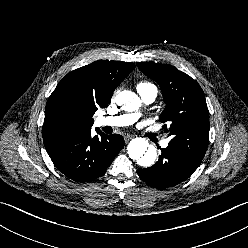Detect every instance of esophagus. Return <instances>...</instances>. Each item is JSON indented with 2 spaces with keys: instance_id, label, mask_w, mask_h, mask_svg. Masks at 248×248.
I'll list each match as a JSON object with an SVG mask.
<instances>
[{
  "instance_id": "1",
  "label": "esophagus",
  "mask_w": 248,
  "mask_h": 248,
  "mask_svg": "<svg viewBox=\"0 0 248 248\" xmlns=\"http://www.w3.org/2000/svg\"><path fill=\"white\" fill-rule=\"evenodd\" d=\"M131 138H132V136L126 135V136L124 137V140H125V142L127 143Z\"/></svg>"
}]
</instances>
